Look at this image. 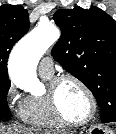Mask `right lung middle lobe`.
<instances>
[{"label": "right lung middle lobe", "instance_id": "obj_1", "mask_svg": "<svg viewBox=\"0 0 116 134\" xmlns=\"http://www.w3.org/2000/svg\"><path fill=\"white\" fill-rule=\"evenodd\" d=\"M10 88L9 78L0 77V119L12 117L7 103V93Z\"/></svg>", "mask_w": 116, "mask_h": 134}]
</instances>
